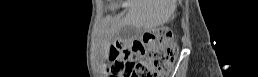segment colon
Listing matches in <instances>:
<instances>
[{"mask_svg":"<svg viewBox=\"0 0 258 77\" xmlns=\"http://www.w3.org/2000/svg\"><path fill=\"white\" fill-rule=\"evenodd\" d=\"M178 48L167 28L146 33L138 46L112 50L110 61L115 74L123 77H163L171 69Z\"/></svg>","mask_w":258,"mask_h":77,"instance_id":"5ec220e1","label":"colon"}]
</instances>
